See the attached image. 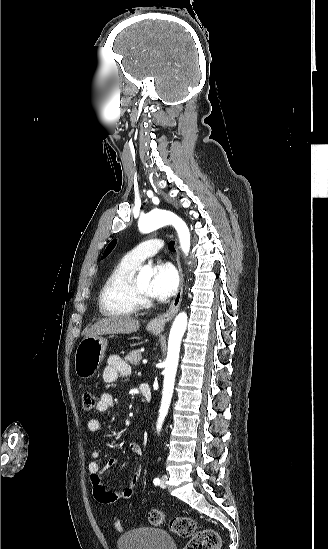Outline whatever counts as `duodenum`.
<instances>
[{"mask_svg":"<svg viewBox=\"0 0 328 549\" xmlns=\"http://www.w3.org/2000/svg\"><path fill=\"white\" fill-rule=\"evenodd\" d=\"M139 391H140V393L142 394V396L145 398V400L147 402L151 401L152 391H151V388L148 384H146V383L139 384Z\"/></svg>","mask_w":328,"mask_h":549,"instance_id":"1","label":"duodenum"}]
</instances>
